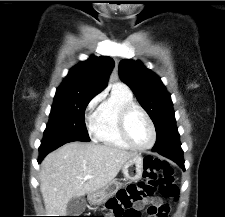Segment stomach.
Here are the masks:
<instances>
[{
  "label": "stomach",
  "instance_id": "1",
  "mask_svg": "<svg viewBox=\"0 0 225 217\" xmlns=\"http://www.w3.org/2000/svg\"><path fill=\"white\" fill-rule=\"evenodd\" d=\"M143 161L144 159L140 155H136L123 165L122 172L126 180L138 181L142 178L144 171ZM120 187L121 183L113 180L105 187L92 193L89 196V201L94 205L102 204L115 195Z\"/></svg>",
  "mask_w": 225,
  "mask_h": 217
}]
</instances>
